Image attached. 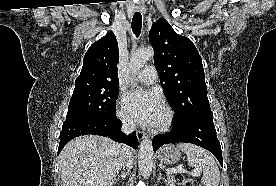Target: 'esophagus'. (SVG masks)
Returning a JSON list of instances; mask_svg holds the SVG:
<instances>
[{
  "label": "esophagus",
  "instance_id": "esophagus-1",
  "mask_svg": "<svg viewBox=\"0 0 276 186\" xmlns=\"http://www.w3.org/2000/svg\"><path fill=\"white\" fill-rule=\"evenodd\" d=\"M136 9H137V11H139L142 14H145V12H146V8L143 4H138L136 6ZM136 135H137L138 140H143L146 138V134L142 131H137Z\"/></svg>",
  "mask_w": 276,
  "mask_h": 186
}]
</instances>
